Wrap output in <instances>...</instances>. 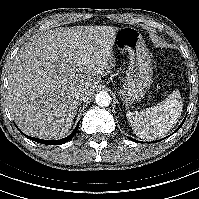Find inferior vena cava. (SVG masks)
<instances>
[{
	"instance_id": "obj_1",
	"label": "inferior vena cava",
	"mask_w": 199,
	"mask_h": 199,
	"mask_svg": "<svg viewBox=\"0 0 199 199\" xmlns=\"http://www.w3.org/2000/svg\"><path fill=\"white\" fill-rule=\"evenodd\" d=\"M71 95L78 102L83 101L85 96L84 91L82 89L77 88L72 90Z\"/></svg>"
}]
</instances>
